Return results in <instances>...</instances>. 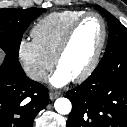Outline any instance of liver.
<instances>
[{
	"instance_id": "1",
	"label": "liver",
	"mask_w": 127,
	"mask_h": 127,
	"mask_svg": "<svg viewBox=\"0 0 127 127\" xmlns=\"http://www.w3.org/2000/svg\"><path fill=\"white\" fill-rule=\"evenodd\" d=\"M0 61H1V53H0Z\"/></svg>"
}]
</instances>
